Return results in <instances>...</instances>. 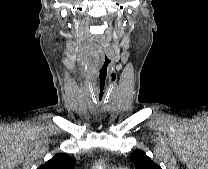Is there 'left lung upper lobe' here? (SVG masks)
<instances>
[{
	"mask_svg": "<svg viewBox=\"0 0 208 169\" xmlns=\"http://www.w3.org/2000/svg\"><path fill=\"white\" fill-rule=\"evenodd\" d=\"M131 159L137 169H161V167L153 162L142 150H136L131 154Z\"/></svg>",
	"mask_w": 208,
	"mask_h": 169,
	"instance_id": "1",
	"label": "left lung upper lobe"
}]
</instances>
